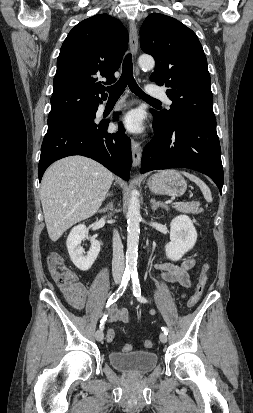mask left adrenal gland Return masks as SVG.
I'll list each match as a JSON object with an SVG mask.
<instances>
[{"mask_svg":"<svg viewBox=\"0 0 253 413\" xmlns=\"http://www.w3.org/2000/svg\"><path fill=\"white\" fill-rule=\"evenodd\" d=\"M150 203H151V208H152L153 211L157 210V208H159V207H162V208L168 210V206L166 204H164L163 202L156 201L155 199H151Z\"/></svg>","mask_w":253,"mask_h":413,"instance_id":"left-adrenal-gland-1","label":"left adrenal gland"}]
</instances>
